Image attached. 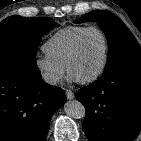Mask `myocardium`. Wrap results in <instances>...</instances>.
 Wrapping results in <instances>:
<instances>
[{"mask_svg": "<svg viewBox=\"0 0 141 141\" xmlns=\"http://www.w3.org/2000/svg\"><path fill=\"white\" fill-rule=\"evenodd\" d=\"M95 31L97 33H99L104 41V57H103V61L101 66L99 67V69L90 77L86 78V79H77V82H79L80 84H90L95 82L96 80H98L102 74L104 73L107 64H108V60H109V51H110V45H109V40L107 35L105 34V32L98 28V27H88L86 28L76 39L73 48L68 56L67 62H66V70L69 74H71L70 72V68L71 65L73 63V61L76 59L79 51H80V47L82 44V41L84 39V37L89 33Z\"/></svg>", "mask_w": 141, "mask_h": 141, "instance_id": "obj_1", "label": "myocardium"}]
</instances>
